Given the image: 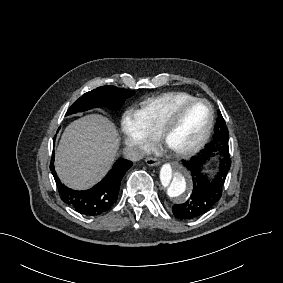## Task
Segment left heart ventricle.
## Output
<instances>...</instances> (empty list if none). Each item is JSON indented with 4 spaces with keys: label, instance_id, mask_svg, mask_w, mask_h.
<instances>
[{
    "label": "left heart ventricle",
    "instance_id": "b2bd125f",
    "mask_svg": "<svg viewBox=\"0 0 283 283\" xmlns=\"http://www.w3.org/2000/svg\"><path fill=\"white\" fill-rule=\"evenodd\" d=\"M166 145L173 152L188 149L196 143L209 121V109L204 103L183 109L169 105L165 110Z\"/></svg>",
    "mask_w": 283,
    "mask_h": 283
}]
</instances>
